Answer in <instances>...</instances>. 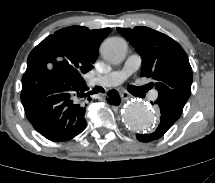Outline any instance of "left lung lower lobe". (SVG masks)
<instances>
[{
    "label": "left lung lower lobe",
    "instance_id": "left-lung-lower-lobe-1",
    "mask_svg": "<svg viewBox=\"0 0 215 183\" xmlns=\"http://www.w3.org/2000/svg\"><path fill=\"white\" fill-rule=\"evenodd\" d=\"M155 104L160 111V124L155 132L152 134H138L136 137L139 141L149 142L163 136L174 122L180 117L170 106L166 103L156 100Z\"/></svg>",
    "mask_w": 215,
    "mask_h": 183
}]
</instances>
